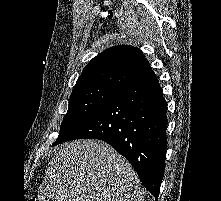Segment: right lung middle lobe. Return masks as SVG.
Segmentation results:
<instances>
[{"instance_id":"obj_1","label":"right lung middle lobe","mask_w":221,"mask_h":201,"mask_svg":"<svg viewBox=\"0 0 221 201\" xmlns=\"http://www.w3.org/2000/svg\"><path fill=\"white\" fill-rule=\"evenodd\" d=\"M118 91L116 88L102 86L73 90L59 137L53 146L64 142Z\"/></svg>"}]
</instances>
